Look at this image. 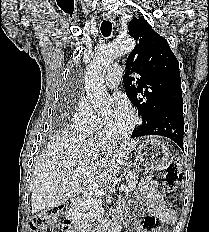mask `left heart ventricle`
I'll use <instances>...</instances> for the list:
<instances>
[{
    "instance_id": "b2bd125f",
    "label": "left heart ventricle",
    "mask_w": 209,
    "mask_h": 232,
    "mask_svg": "<svg viewBox=\"0 0 209 232\" xmlns=\"http://www.w3.org/2000/svg\"><path fill=\"white\" fill-rule=\"evenodd\" d=\"M104 116H105V120L108 123V127L112 131H117V132L123 131L129 126L131 122L128 111L125 114L115 116L114 112L109 110L104 114Z\"/></svg>"
}]
</instances>
